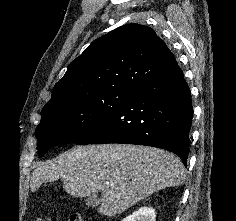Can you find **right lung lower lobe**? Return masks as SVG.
I'll list each match as a JSON object with an SVG mask.
<instances>
[{
  "label": "right lung lower lobe",
  "instance_id": "right-lung-lower-lobe-1",
  "mask_svg": "<svg viewBox=\"0 0 236 221\" xmlns=\"http://www.w3.org/2000/svg\"><path fill=\"white\" fill-rule=\"evenodd\" d=\"M193 107L177 62L141 85L118 109L76 144L125 143L162 148L186 165Z\"/></svg>",
  "mask_w": 236,
  "mask_h": 221
}]
</instances>
